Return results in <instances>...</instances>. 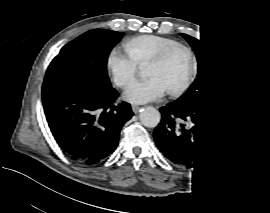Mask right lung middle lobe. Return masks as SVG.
Instances as JSON below:
<instances>
[{
    "instance_id": "1",
    "label": "right lung middle lobe",
    "mask_w": 270,
    "mask_h": 213,
    "mask_svg": "<svg viewBox=\"0 0 270 213\" xmlns=\"http://www.w3.org/2000/svg\"><path fill=\"white\" fill-rule=\"evenodd\" d=\"M122 35L119 32L93 29L65 45L50 63L45 79L80 77L111 86L106 64L113 46Z\"/></svg>"
}]
</instances>
